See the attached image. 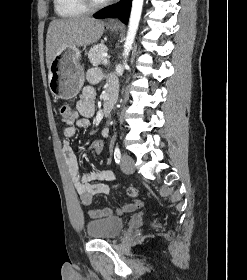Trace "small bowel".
<instances>
[{
	"label": "small bowel",
	"mask_w": 247,
	"mask_h": 280,
	"mask_svg": "<svg viewBox=\"0 0 247 280\" xmlns=\"http://www.w3.org/2000/svg\"><path fill=\"white\" fill-rule=\"evenodd\" d=\"M87 77L91 83H96L100 80L101 73L97 69H92L88 72ZM77 110L80 118L74 124L67 126L63 130L64 144L62 152L81 204L84 207H89L94 195L107 194L109 192L110 188L108 184L115 180V176L110 170H96L89 173H82L79 168L77 156L69 144V140L75 136L78 130L88 128L90 125V118L95 111V89L92 86H86L82 89L80 99L77 102ZM102 134L106 137L108 135V129L105 128ZM142 206L143 202L139 200L126 203L123 207L117 209V213L130 212ZM87 213L90 218L99 219L109 217L113 212L110 208H102L88 209Z\"/></svg>",
	"instance_id": "c3829d8e"
}]
</instances>
